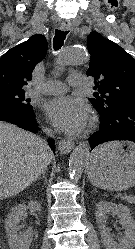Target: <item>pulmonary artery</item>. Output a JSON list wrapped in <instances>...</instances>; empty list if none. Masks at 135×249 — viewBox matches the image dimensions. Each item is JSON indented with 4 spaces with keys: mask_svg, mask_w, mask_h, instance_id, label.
I'll list each match as a JSON object with an SVG mask.
<instances>
[{
    "mask_svg": "<svg viewBox=\"0 0 135 249\" xmlns=\"http://www.w3.org/2000/svg\"><path fill=\"white\" fill-rule=\"evenodd\" d=\"M90 85V81L81 74H71L68 79V84L60 81H48L42 87L38 88L36 92L43 94H62L72 88H81Z\"/></svg>",
    "mask_w": 135,
    "mask_h": 249,
    "instance_id": "e3ab8cb5",
    "label": "pulmonary artery"
}]
</instances>
